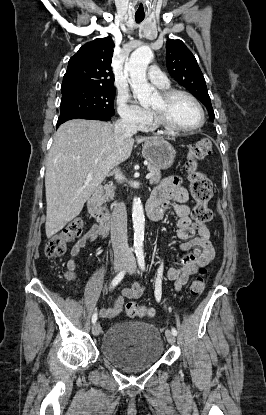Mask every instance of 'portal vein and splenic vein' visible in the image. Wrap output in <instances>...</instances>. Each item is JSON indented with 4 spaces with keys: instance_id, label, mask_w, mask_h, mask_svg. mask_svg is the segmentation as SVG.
<instances>
[{
    "instance_id": "1",
    "label": "portal vein and splenic vein",
    "mask_w": 266,
    "mask_h": 415,
    "mask_svg": "<svg viewBox=\"0 0 266 415\" xmlns=\"http://www.w3.org/2000/svg\"><path fill=\"white\" fill-rule=\"evenodd\" d=\"M152 173H149V174H147L146 175V179H150L151 177H152ZM92 176H93V174L92 173H89L88 175H87V177H86V179L87 180H90V179H92Z\"/></svg>"
}]
</instances>
